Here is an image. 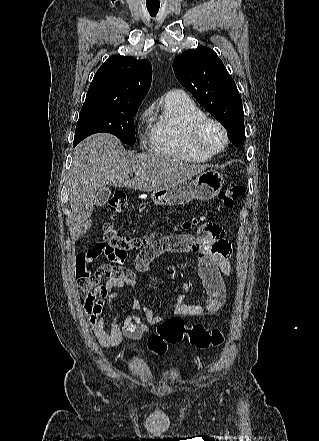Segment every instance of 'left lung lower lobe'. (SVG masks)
Segmentation results:
<instances>
[{
	"label": "left lung lower lobe",
	"mask_w": 319,
	"mask_h": 441,
	"mask_svg": "<svg viewBox=\"0 0 319 441\" xmlns=\"http://www.w3.org/2000/svg\"><path fill=\"white\" fill-rule=\"evenodd\" d=\"M231 142H232V144H234L235 146H236V141H235V139L234 138H231V140H230Z\"/></svg>",
	"instance_id": "obj_1"
}]
</instances>
